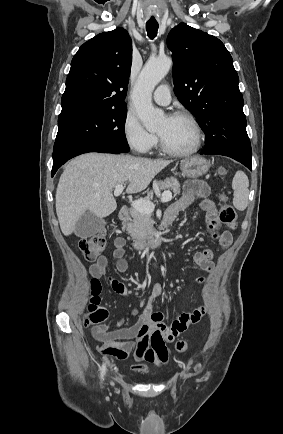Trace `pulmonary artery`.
Masks as SVG:
<instances>
[{"label": "pulmonary artery", "mask_w": 283, "mask_h": 434, "mask_svg": "<svg viewBox=\"0 0 283 434\" xmlns=\"http://www.w3.org/2000/svg\"><path fill=\"white\" fill-rule=\"evenodd\" d=\"M153 99L157 104L168 105L171 101L169 86L167 84L159 85L154 91Z\"/></svg>", "instance_id": "e3ab8cb5"}]
</instances>
